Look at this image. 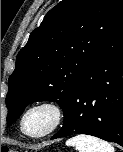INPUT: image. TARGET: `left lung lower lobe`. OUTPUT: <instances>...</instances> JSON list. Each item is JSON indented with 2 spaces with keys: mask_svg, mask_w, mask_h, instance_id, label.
I'll list each match as a JSON object with an SVG mask.
<instances>
[{
  "mask_svg": "<svg viewBox=\"0 0 123 152\" xmlns=\"http://www.w3.org/2000/svg\"><path fill=\"white\" fill-rule=\"evenodd\" d=\"M63 110L51 139L87 134L123 146V5Z\"/></svg>",
  "mask_w": 123,
  "mask_h": 152,
  "instance_id": "left-lung-lower-lobe-1",
  "label": "left lung lower lobe"
}]
</instances>
